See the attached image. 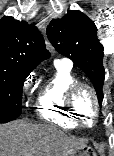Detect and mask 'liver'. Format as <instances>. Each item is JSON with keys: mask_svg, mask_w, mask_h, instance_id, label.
I'll return each instance as SVG.
<instances>
[{"mask_svg": "<svg viewBox=\"0 0 114 156\" xmlns=\"http://www.w3.org/2000/svg\"><path fill=\"white\" fill-rule=\"evenodd\" d=\"M86 142L50 124L25 120L0 124V156H68Z\"/></svg>", "mask_w": 114, "mask_h": 156, "instance_id": "liver-1", "label": "liver"}]
</instances>
